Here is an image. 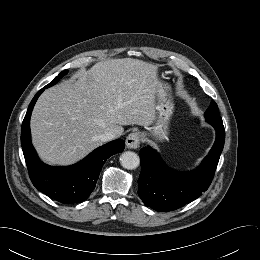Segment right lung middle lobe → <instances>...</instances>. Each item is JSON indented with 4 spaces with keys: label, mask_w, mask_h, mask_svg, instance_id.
<instances>
[{
    "label": "right lung middle lobe",
    "mask_w": 260,
    "mask_h": 260,
    "mask_svg": "<svg viewBox=\"0 0 260 260\" xmlns=\"http://www.w3.org/2000/svg\"><path fill=\"white\" fill-rule=\"evenodd\" d=\"M67 73V70L62 71L51 83L46 85L45 87L48 88L52 85H54L56 82H58L65 74Z\"/></svg>",
    "instance_id": "right-lung-middle-lobe-1"
}]
</instances>
